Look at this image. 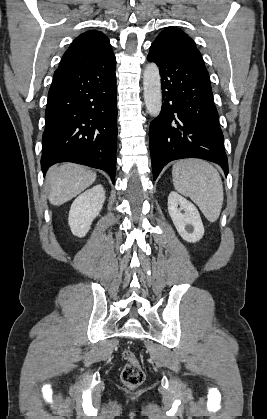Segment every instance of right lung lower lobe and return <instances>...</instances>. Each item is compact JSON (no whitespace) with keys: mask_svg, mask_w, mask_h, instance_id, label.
I'll list each match as a JSON object with an SVG mask.
<instances>
[{"mask_svg":"<svg viewBox=\"0 0 267 419\" xmlns=\"http://www.w3.org/2000/svg\"><path fill=\"white\" fill-rule=\"evenodd\" d=\"M116 61L99 68H58L48 93L41 168L70 161L106 171L115 182Z\"/></svg>","mask_w":267,"mask_h":419,"instance_id":"obj_1","label":"right lung lower lobe"}]
</instances>
